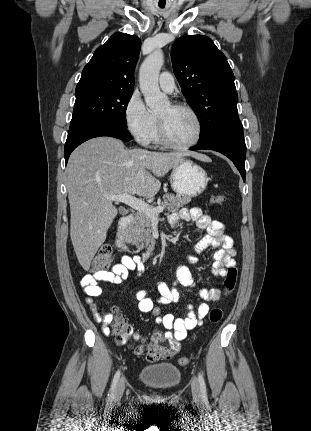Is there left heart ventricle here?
<instances>
[{
    "label": "left heart ventricle",
    "mask_w": 311,
    "mask_h": 431,
    "mask_svg": "<svg viewBox=\"0 0 311 431\" xmlns=\"http://www.w3.org/2000/svg\"><path fill=\"white\" fill-rule=\"evenodd\" d=\"M157 116L164 121L168 136L174 142L187 144L196 138L198 124L190 112L176 110L171 105H168Z\"/></svg>",
    "instance_id": "obj_1"
}]
</instances>
